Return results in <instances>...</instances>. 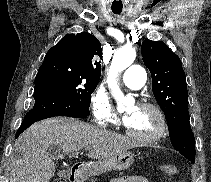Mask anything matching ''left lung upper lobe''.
Masks as SVG:
<instances>
[{
  "mask_svg": "<svg viewBox=\"0 0 211 182\" xmlns=\"http://www.w3.org/2000/svg\"><path fill=\"white\" fill-rule=\"evenodd\" d=\"M141 53L151 73L152 91L164 112L171 143L194 163L195 140L189 121L188 91L182 62L162 41L145 39Z\"/></svg>",
  "mask_w": 211,
  "mask_h": 182,
  "instance_id": "5c2ea615",
  "label": "left lung upper lobe"
}]
</instances>
